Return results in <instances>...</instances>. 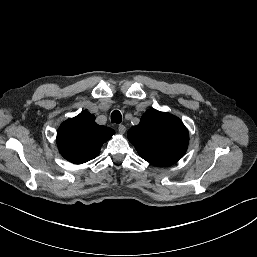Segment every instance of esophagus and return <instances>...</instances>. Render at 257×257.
I'll use <instances>...</instances> for the list:
<instances>
[{
    "label": "esophagus",
    "instance_id": "obj_1",
    "mask_svg": "<svg viewBox=\"0 0 257 257\" xmlns=\"http://www.w3.org/2000/svg\"><path fill=\"white\" fill-rule=\"evenodd\" d=\"M118 131L120 134H124L126 132V127L123 124L118 126Z\"/></svg>",
    "mask_w": 257,
    "mask_h": 257
}]
</instances>
